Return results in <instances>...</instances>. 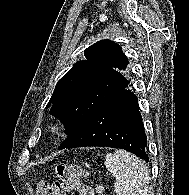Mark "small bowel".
<instances>
[{
    "instance_id": "small-bowel-1",
    "label": "small bowel",
    "mask_w": 189,
    "mask_h": 195,
    "mask_svg": "<svg viewBox=\"0 0 189 195\" xmlns=\"http://www.w3.org/2000/svg\"><path fill=\"white\" fill-rule=\"evenodd\" d=\"M82 195H95V190L90 186H83Z\"/></svg>"
}]
</instances>
